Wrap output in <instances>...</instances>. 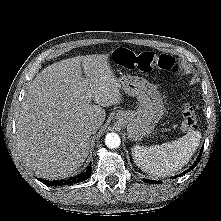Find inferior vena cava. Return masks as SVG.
I'll list each match as a JSON object with an SVG mask.
<instances>
[{
	"mask_svg": "<svg viewBox=\"0 0 221 221\" xmlns=\"http://www.w3.org/2000/svg\"><path fill=\"white\" fill-rule=\"evenodd\" d=\"M100 123L97 120L90 121L87 125V129L89 133L94 134L96 133L97 129L99 128Z\"/></svg>",
	"mask_w": 221,
	"mask_h": 221,
	"instance_id": "inferior-vena-cava-1",
	"label": "inferior vena cava"
}]
</instances>
